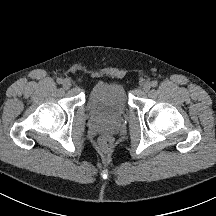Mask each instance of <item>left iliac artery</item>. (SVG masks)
<instances>
[{
  "instance_id": "1",
  "label": "left iliac artery",
  "mask_w": 216,
  "mask_h": 216,
  "mask_svg": "<svg viewBox=\"0 0 216 216\" xmlns=\"http://www.w3.org/2000/svg\"><path fill=\"white\" fill-rule=\"evenodd\" d=\"M157 85H158V82H157V81H155V80L152 81V83H151V86H152V87H156Z\"/></svg>"
}]
</instances>
